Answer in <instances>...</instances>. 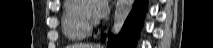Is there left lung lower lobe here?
I'll use <instances>...</instances> for the list:
<instances>
[{"label": "left lung lower lobe", "mask_w": 213, "mask_h": 48, "mask_svg": "<svg viewBox=\"0 0 213 48\" xmlns=\"http://www.w3.org/2000/svg\"><path fill=\"white\" fill-rule=\"evenodd\" d=\"M146 0H136L135 6L125 21L121 33L113 38L109 36V48H134L135 37L138 36L145 14ZM105 35L102 37L104 39Z\"/></svg>", "instance_id": "obj_1"}]
</instances>
